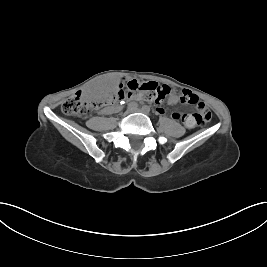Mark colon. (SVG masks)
I'll use <instances>...</instances> for the list:
<instances>
[{
	"label": "colon",
	"mask_w": 267,
	"mask_h": 267,
	"mask_svg": "<svg viewBox=\"0 0 267 267\" xmlns=\"http://www.w3.org/2000/svg\"><path fill=\"white\" fill-rule=\"evenodd\" d=\"M170 91L169 86L154 81L132 80L128 82L126 89L119 87L117 91L107 94L100 101H89L81 92H77L64 100L61 109L67 115L82 117L106 105L115 104L131 97H140L142 100L159 104L165 100ZM181 101L196 105L197 113L191 115V121L196 125H205L211 120V112L208 107L205 105L206 107L198 108V98L190 91L182 92Z\"/></svg>",
	"instance_id": "1"
}]
</instances>
